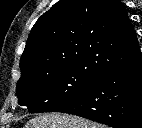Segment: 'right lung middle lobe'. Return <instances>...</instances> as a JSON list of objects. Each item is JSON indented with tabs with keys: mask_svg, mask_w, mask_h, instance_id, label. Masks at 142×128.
Returning <instances> with one entry per match:
<instances>
[{
	"mask_svg": "<svg viewBox=\"0 0 142 128\" xmlns=\"http://www.w3.org/2000/svg\"><path fill=\"white\" fill-rule=\"evenodd\" d=\"M97 78L89 69L67 66L19 79L18 103L30 113L52 112L88 89Z\"/></svg>",
	"mask_w": 142,
	"mask_h": 128,
	"instance_id": "right-lung-middle-lobe-1",
	"label": "right lung middle lobe"
}]
</instances>
